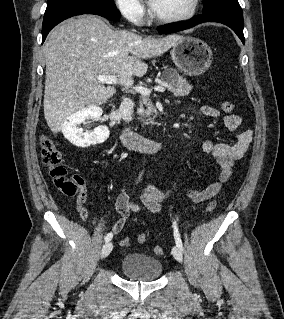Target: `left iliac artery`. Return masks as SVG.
I'll return each mask as SVG.
<instances>
[{
    "label": "left iliac artery",
    "mask_w": 284,
    "mask_h": 319,
    "mask_svg": "<svg viewBox=\"0 0 284 319\" xmlns=\"http://www.w3.org/2000/svg\"><path fill=\"white\" fill-rule=\"evenodd\" d=\"M173 230H174L175 243L182 250L183 249V245H182V241H181V238H180V235H179V231H178V227H177L176 221H173Z\"/></svg>",
    "instance_id": "44dca946"
}]
</instances>
